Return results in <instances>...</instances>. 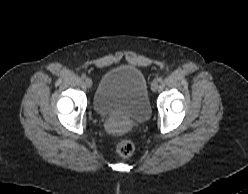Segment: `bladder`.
Here are the masks:
<instances>
[{
    "mask_svg": "<svg viewBox=\"0 0 248 194\" xmlns=\"http://www.w3.org/2000/svg\"><path fill=\"white\" fill-rule=\"evenodd\" d=\"M99 115H122L129 121L144 122L151 114L144 74L132 65H122L106 72L93 97Z\"/></svg>",
    "mask_w": 248,
    "mask_h": 194,
    "instance_id": "1",
    "label": "bladder"
}]
</instances>
